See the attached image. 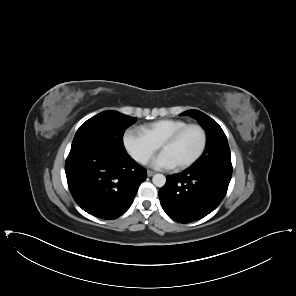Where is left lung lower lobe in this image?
Returning a JSON list of instances; mask_svg holds the SVG:
<instances>
[{
	"label": "left lung lower lobe",
	"mask_w": 296,
	"mask_h": 296,
	"mask_svg": "<svg viewBox=\"0 0 296 296\" xmlns=\"http://www.w3.org/2000/svg\"><path fill=\"white\" fill-rule=\"evenodd\" d=\"M232 165L196 166L167 176L159 191L164 211L173 220L189 223L212 212L226 195Z\"/></svg>",
	"instance_id": "left-lung-lower-lobe-1"
}]
</instances>
